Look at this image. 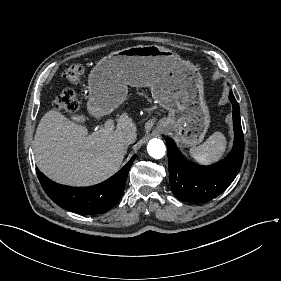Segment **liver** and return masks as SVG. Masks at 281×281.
Masks as SVG:
<instances>
[{
    "mask_svg": "<svg viewBox=\"0 0 281 281\" xmlns=\"http://www.w3.org/2000/svg\"><path fill=\"white\" fill-rule=\"evenodd\" d=\"M106 114L100 111L96 117ZM135 129L132 119L122 114L113 133L99 130L87 136L86 127L59 112L48 111L41 118L34 138L36 165L59 184L72 187L99 184L117 172L125 156L126 148L118 136Z\"/></svg>",
    "mask_w": 281,
    "mask_h": 281,
    "instance_id": "liver-1",
    "label": "liver"
}]
</instances>
